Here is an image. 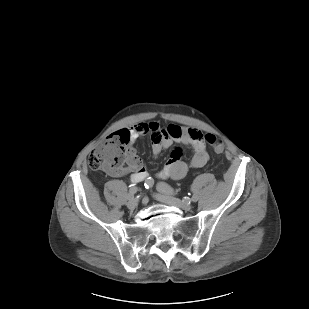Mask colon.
Returning <instances> with one entry per match:
<instances>
[{
	"mask_svg": "<svg viewBox=\"0 0 309 309\" xmlns=\"http://www.w3.org/2000/svg\"><path fill=\"white\" fill-rule=\"evenodd\" d=\"M205 142L212 146L216 153L224 150L223 142L212 134L204 136ZM127 138L119 134H112L103 140L88 156V166L92 170L115 172L123 167L126 159Z\"/></svg>",
	"mask_w": 309,
	"mask_h": 309,
	"instance_id": "5ec220e1",
	"label": "colon"
}]
</instances>
